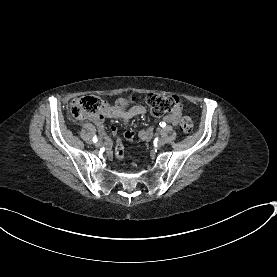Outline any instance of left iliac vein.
<instances>
[{"mask_svg": "<svg viewBox=\"0 0 277 277\" xmlns=\"http://www.w3.org/2000/svg\"><path fill=\"white\" fill-rule=\"evenodd\" d=\"M164 144H165V140L163 138H160L158 141V146L162 147V146H164Z\"/></svg>", "mask_w": 277, "mask_h": 277, "instance_id": "4c4485c4", "label": "left iliac vein"}]
</instances>
